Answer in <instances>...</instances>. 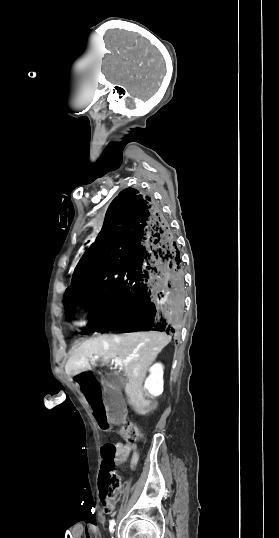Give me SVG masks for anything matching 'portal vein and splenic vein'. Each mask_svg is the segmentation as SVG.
Masks as SVG:
<instances>
[{
    "instance_id": "obj_1",
    "label": "portal vein and splenic vein",
    "mask_w": 279,
    "mask_h": 538,
    "mask_svg": "<svg viewBox=\"0 0 279 538\" xmlns=\"http://www.w3.org/2000/svg\"><path fill=\"white\" fill-rule=\"evenodd\" d=\"M97 358H99V356H94V360H97ZM114 362L115 366H122L123 364V360H120V358H115Z\"/></svg>"
}]
</instances>
